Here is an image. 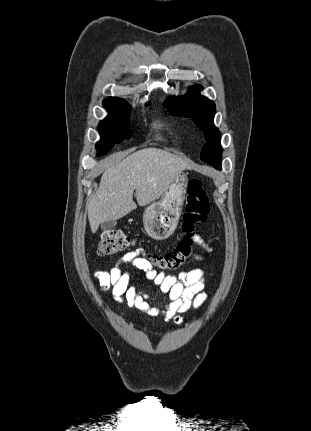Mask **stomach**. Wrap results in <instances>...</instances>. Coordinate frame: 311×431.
<instances>
[{
	"label": "stomach",
	"mask_w": 311,
	"mask_h": 431,
	"mask_svg": "<svg viewBox=\"0 0 311 431\" xmlns=\"http://www.w3.org/2000/svg\"><path fill=\"white\" fill-rule=\"evenodd\" d=\"M188 188V176L181 172L162 194L159 202L146 208L143 214L144 229L153 239H167L179 223Z\"/></svg>",
	"instance_id": "obj_1"
}]
</instances>
